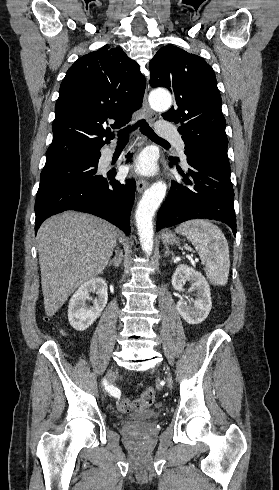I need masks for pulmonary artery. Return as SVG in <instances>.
<instances>
[{"label":"pulmonary artery","instance_id":"e3ab8cb5","mask_svg":"<svg viewBox=\"0 0 279 490\" xmlns=\"http://www.w3.org/2000/svg\"><path fill=\"white\" fill-rule=\"evenodd\" d=\"M155 128L157 131H160L159 133L160 140H176L178 135V130L177 128H172L170 122H157ZM184 146H185L184 143L180 139H178L177 147L180 150H184Z\"/></svg>","mask_w":279,"mask_h":490}]
</instances>
